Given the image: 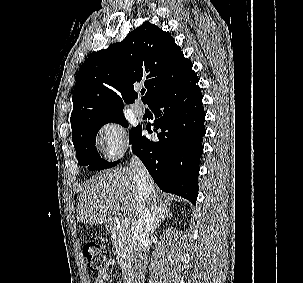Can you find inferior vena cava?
<instances>
[{
    "label": "inferior vena cava",
    "mask_w": 303,
    "mask_h": 283,
    "mask_svg": "<svg viewBox=\"0 0 303 283\" xmlns=\"http://www.w3.org/2000/svg\"><path fill=\"white\" fill-rule=\"evenodd\" d=\"M130 168L134 172V181L138 188V219L134 231L135 282L144 283L147 253L150 239L154 232L158 208L156 206L153 180L141 160L135 155L131 156Z\"/></svg>",
    "instance_id": "602c4592"
}]
</instances>
